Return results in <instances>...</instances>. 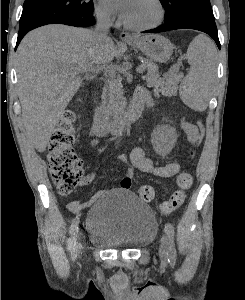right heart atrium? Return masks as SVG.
Wrapping results in <instances>:
<instances>
[{
  "label": "right heart atrium",
  "instance_id": "1",
  "mask_svg": "<svg viewBox=\"0 0 245 300\" xmlns=\"http://www.w3.org/2000/svg\"><path fill=\"white\" fill-rule=\"evenodd\" d=\"M105 1L106 0H98L96 4V14L101 21L110 22L113 18V13Z\"/></svg>",
  "mask_w": 245,
  "mask_h": 300
}]
</instances>
